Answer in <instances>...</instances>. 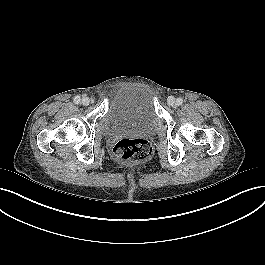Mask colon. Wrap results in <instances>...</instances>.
Listing matches in <instances>:
<instances>
[{
    "instance_id": "1",
    "label": "colon",
    "mask_w": 265,
    "mask_h": 265,
    "mask_svg": "<svg viewBox=\"0 0 265 265\" xmlns=\"http://www.w3.org/2000/svg\"><path fill=\"white\" fill-rule=\"evenodd\" d=\"M113 153L121 162L141 163L150 159L153 148L144 138H123L115 143Z\"/></svg>"
}]
</instances>
